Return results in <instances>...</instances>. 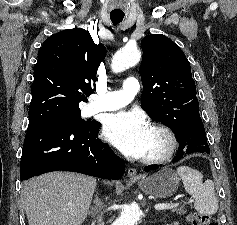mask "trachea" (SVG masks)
I'll use <instances>...</instances> for the list:
<instances>
[{"mask_svg":"<svg viewBox=\"0 0 237 225\" xmlns=\"http://www.w3.org/2000/svg\"><path fill=\"white\" fill-rule=\"evenodd\" d=\"M124 18V14H115L111 13L110 14V19L114 25L119 24Z\"/></svg>","mask_w":237,"mask_h":225,"instance_id":"obj_1","label":"trachea"}]
</instances>
